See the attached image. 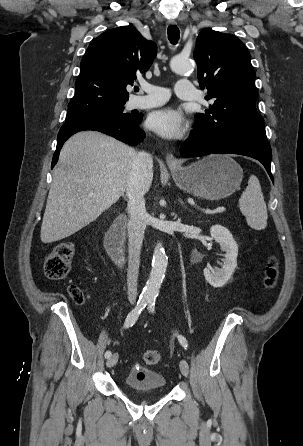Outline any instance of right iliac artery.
Here are the masks:
<instances>
[{
    "mask_svg": "<svg viewBox=\"0 0 303 446\" xmlns=\"http://www.w3.org/2000/svg\"><path fill=\"white\" fill-rule=\"evenodd\" d=\"M147 299H139L134 309L127 315V318L125 320L124 328H129L135 324L137 321L140 313L143 311V309L148 304ZM111 351L105 352V358H109L111 356Z\"/></svg>",
    "mask_w": 303,
    "mask_h": 446,
    "instance_id": "1",
    "label": "right iliac artery"
}]
</instances>
